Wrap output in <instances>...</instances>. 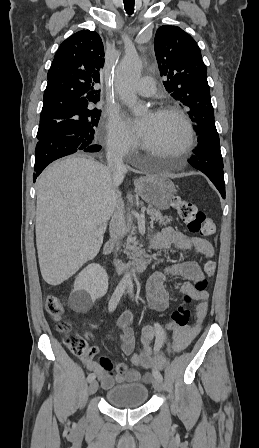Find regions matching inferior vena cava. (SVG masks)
<instances>
[{"label": "inferior vena cava", "mask_w": 259, "mask_h": 448, "mask_svg": "<svg viewBox=\"0 0 259 448\" xmlns=\"http://www.w3.org/2000/svg\"><path fill=\"white\" fill-rule=\"evenodd\" d=\"M125 152V144L121 140H113L112 146L107 152V166L113 174H125L126 166L123 164V154ZM124 204L118 196L116 210L112 216L109 232L113 240H120L121 236L126 232Z\"/></svg>", "instance_id": "1"}]
</instances>
